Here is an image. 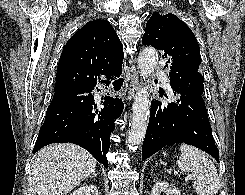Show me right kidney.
I'll use <instances>...</instances> for the list:
<instances>
[{
    "mask_svg": "<svg viewBox=\"0 0 245 195\" xmlns=\"http://www.w3.org/2000/svg\"><path fill=\"white\" fill-rule=\"evenodd\" d=\"M70 195H99L98 189L94 185H84L72 192Z\"/></svg>",
    "mask_w": 245,
    "mask_h": 195,
    "instance_id": "1",
    "label": "right kidney"
}]
</instances>
